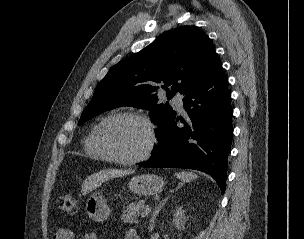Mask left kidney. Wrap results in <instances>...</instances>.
I'll return each instance as SVG.
<instances>
[{
	"label": "left kidney",
	"instance_id": "1",
	"mask_svg": "<svg viewBox=\"0 0 304 239\" xmlns=\"http://www.w3.org/2000/svg\"><path fill=\"white\" fill-rule=\"evenodd\" d=\"M185 211L182 208H177L173 214V223L178 230L184 228L186 218L184 215Z\"/></svg>",
	"mask_w": 304,
	"mask_h": 239
}]
</instances>
